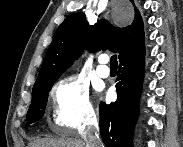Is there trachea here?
I'll use <instances>...</instances> for the list:
<instances>
[{"mask_svg":"<svg viewBox=\"0 0 183 147\" xmlns=\"http://www.w3.org/2000/svg\"><path fill=\"white\" fill-rule=\"evenodd\" d=\"M110 66L111 67H114V68H117L118 66V62H117V55H112L111 58H110Z\"/></svg>","mask_w":183,"mask_h":147,"instance_id":"trachea-1","label":"trachea"}]
</instances>
